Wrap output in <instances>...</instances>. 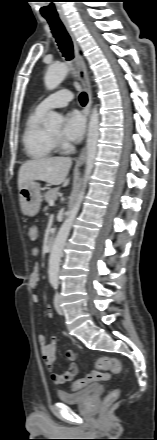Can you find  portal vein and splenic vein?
Listing matches in <instances>:
<instances>
[{
  "instance_id": "18ae733b",
  "label": "portal vein and splenic vein",
  "mask_w": 157,
  "mask_h": 440,
  "mask_svg": "<svg viewBox=\"0 0 157 440\" xmlns=\"http://www.w3.org/2000/svg\"><path fill=\"white\" fill-rule=\"evenodd\" d=\"M49 205L54 206V201H50Z\"/></svg>"
}]
</instances>
